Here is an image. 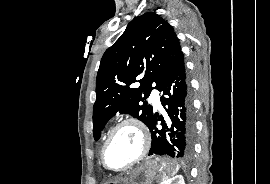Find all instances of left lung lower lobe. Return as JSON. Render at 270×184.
<instances>
[{
	"instance_id": "0a47b994",
	"label": "left lung lower lobe",
	"mask_w": 270,
	"mask_h": 184,
	"mask_svg": "<svg viewBox=\"0 0 270 184\" xmlns=\"http://www.w3.org/2000/svg\"><path fill=\"white\" fill-rule=\"evenodd\" d=\"M158 90L163 92L160 100L167 114L165 118L162 115H153L148 125L152 135L149 155L187 161L193 155L195 121L182 52L168 69ZM157 120L161 121V129L156 127Z\"/></svg>"
}]
</instances>
